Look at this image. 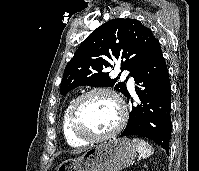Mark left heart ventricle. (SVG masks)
Wrapping results in <instances>:
<instances>
[{
  "label": "left heart ventricle",
  "instance_id": "obj_1",
  "mask_svg": "<svg viewBox=\"0 0 199 171\" xmlns=\"http://www.w3.org/2000/svg\"><path fill=\"white\" fill-rule=\"evenodd\" d=\"M119 118L117 103L106 94H95L88 97L80 108V125L93 135H102L113 130Z\"/></svg>",
  "mask_w": 199,
  "mask_h": 171
}]
</instances>
